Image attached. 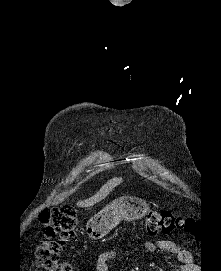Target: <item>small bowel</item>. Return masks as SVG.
I'll list each match as a JSON object with an SVG mask.
<instances>
[{
  "instance_id": "c3829d8e",
  "label": "small bowel",
  "mask_w": 221,
  "mask_h": 271,
  "mask_svg": "<svg viewBox=\"0 0 221 271\" xmlns=\"http://www.w3.org/2000/svg\"><path fill=\"white\" fill-rule=\"evenodd\" d=\"M144 248L148 253L163 251L175 254L182 263L181 271H192V255L189 251L182 249L179 244L172 239L148 240L144 243ZM116 250L104 251L96 260V271H110V262L116 259Z\"/></svg>"
}]
</instances>
